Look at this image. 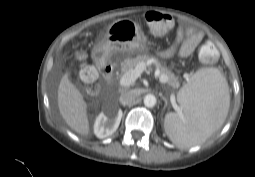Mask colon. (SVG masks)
Listing matches in <instances>:
<instances>
[{
	"mask_svg": "<svg viewBox=\"0 0 255 177\" xmlns=\"http://www.w3.org/2000/svg\"><path fill=\"white\" fill-rule=\"evenodd\" d=\"M147 25L153 34L157 36L167 33L173 25V18L165 13L150 11L145 15ZM199 57L202 61L212 63L218 58V50L212 42H205L199 49ZM79 63V74L86 82H93L97 77L96 69L85 62V55L81 52L75 55Z\"/></svg>",
	"mask_w": 255,
	"mask_h": 177,
	"instance_id": "colon-1",
	"label": "colon"
}]
</instances>
